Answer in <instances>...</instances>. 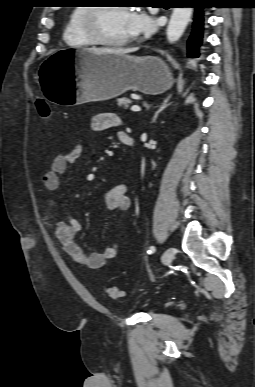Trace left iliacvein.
<instances>
[{"mask_svg":"<svg viewBox=\"0 0 255 387\" xmlns=\"http://www.w3.org/2000/svg\"><path fill=\"white\" fill-rule=\"evenodd\" d=\"M175 249L173 247L168 248L162 255V262L167 265L170 264L175 256Z\"/></svg>","mask_w":255,"mask_h":387,"instance_id":"left-iliac-vein-1","label":"left iliac vein"}]
</instances>
